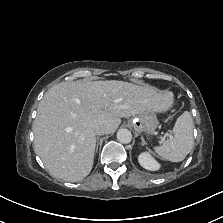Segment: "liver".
Here are the masks:
<instances>
[{
    "instance_id": "6515ba94",
    "label": "liver",
    "mask_w": 223,
    "mask_h": 223,
    "mask_svg": "<svg viewBox=\"0 0 223 223\" xmlns=\"http://www.w3.org/2000/svg\"><path fill=\"white\" fill-rule=\"evenodd\" d=\"M171 91L110 80L62 82L39 103L33 124L34 151L53 177L69 182L85 178L94 163L95 125L113 133L121 118L146 111L165 112Z\"/></svg>"
}]
</instances>
